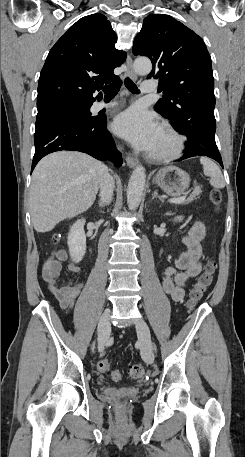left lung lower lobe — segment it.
Listing matches in <instances>:
<instances>
[{
	"label": "left lung lower lobe",
	"mask_w": 245,
	"mask_h": 457,
	"mask_svg": "<svg viewBox=\"0 0 245 457\" xmlns=\"http://www.w3.org/2000/svg\"><path fill=\"white\" fill-rule=\"evenodd\" d=\"M183 120L173 125L176 131L188 138L187 151L179 161L194 156H207L219 162L223 167L214 136L216 130L214 112H197L184 117Z\"/></svg>",
	"instance_id": "0a47b994"
}]
</instances>
